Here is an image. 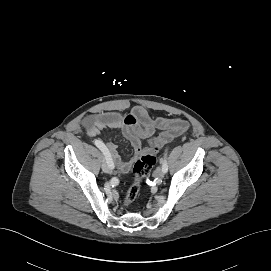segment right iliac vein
Returning <instances> with one entry per match:
<instances>
[{
	"label": "right iliac vein",
	"mask_w": 271,
	"mask_h": 271,
	"mask_svg": "<svg viewBox=\"0 0 271 271\" xmlns=\"http://www.w3.org/2000/svg\"><path fill=\"white\" fill-rule=\"evenodd\" d=\"M102 170L105 173H111V168H110L109 164L107 163V161H103V163H102Z\"/></svg>",
	"instance_id": "right-iliac-vein-1"
}]
</instances>
